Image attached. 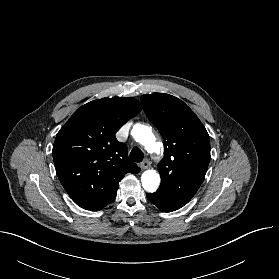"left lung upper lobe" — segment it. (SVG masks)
<instances>
[{"instance_id":"obj_1","label":"left lung upper lobe","mask_w":279,"mask_h":279,"mask_svg":"<svg viewBox=\"0 0 279 279\" xmlns=\"http://www.w3.org/2000/svg\"><path fill=\"white\" fill-rule=\"evenodd\" d=\"M141 101L147 117L164 140L165 155L158 164L161 185L156 193L190 201L209 165V135L194 112L180 99L153 93L143 95Z\"/></svg>"}]
</instances>
